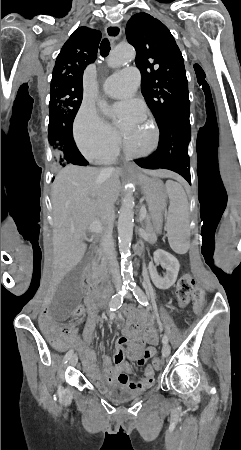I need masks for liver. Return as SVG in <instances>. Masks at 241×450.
I'll use <instances>...</instances> for the list:
<instances>
[{
    "label": "liver",
    "instance_id": "1",
    "mask_svg": "<svg viewBox=\"0 0 241 450\" xmlns=\"http://www.w3.org/2000/svg\"><path fill=\"white\" fill-rule=\"evenodd\" d=\"M153 178H174L167 170H143ZM122 170L104 176L98 168L65 166L58 172L51 190L53 204V270L51 286H58L64 276L78 266L87 244L86 232L93 222L112 224L111 206L120 196Z\"/></svg>",
    "mask_w": 241,
    "mask_h": 450
}]
</instances>
